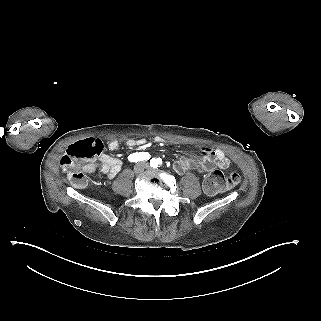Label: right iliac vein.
<instances>
[{
  "label": "right iliac vein",
  "mask_w": 321,
  "mask_h": 321,
  "mask_svg": "<svg viewBox=\"0 0 321 321\" xmlns=\"http://www.w3.org/2000/svg\"><path fill=\"white\" fill-rule=\"evenodd\" d=\"M147 168V165L144 163H139L134 166V173L135 174H140L142 173L145 169Z\"/></svg>",
  "instance_id": "right-iliac-vein-1"
}]
</instances>
